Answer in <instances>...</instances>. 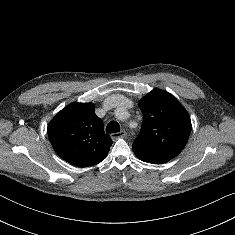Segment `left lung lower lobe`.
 I'll use <instances>...</instances> for the list:
<instances>
[{"mask_svg": "<svg viewBox=\"0 0 235 235\" xmlns=\"http://www.w3.org/2000/svg\"><path fill=\"white\" fill-rule=\"evenodd\" d=\"M140 160L152 164H162L168 162V159L162 157H155V156H147V155H136Z\"/></svg>", "mask_w": 235, "mask_h": 235, "instance_id": "left-lung-lower-lobe-1", "label": "left lung lower lobe"}]
</instances>
